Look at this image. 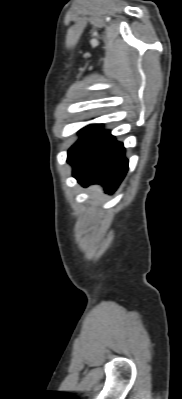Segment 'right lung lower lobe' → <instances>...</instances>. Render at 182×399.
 <instances>
[{
  "mask_svg": "<svg viewBox=\"0 0 182 399\" xmlns=\"http://www.w3.org/2000/svg\"><path fill=\"white\" fill-rule=\"evenodd\" d=\"M79 135L68 151L73 176L84 186L99 183L107 193L114 192L128 170L123 144L99 124L81 129Z\"/></svg>",
  "mask_w": 182,
  "mask_h": 399,
  "instance_id": "1",
  "label": "right lung lower lobe"
}]
</instances>
